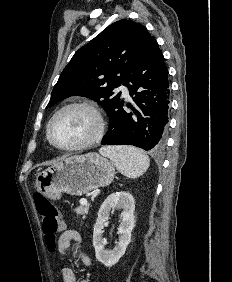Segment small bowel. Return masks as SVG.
<instances>
[{
    "label": "small bowel",
    "instance_id": "c3829d8e",
    "mask_svg": "<svg viewBox=\"0 0 232 282\" xmlns=\"http://www.w3.org/2000/svg\"><path fill=\"white\" fill-rule=\"evenodd\" d=\"M82 239L75 230L65 229L58 239V254L64 261V256L68 249L72 248V256L75 261H81L84 265L91 264L90 258L81 249ZM60 274L63 282H90L87 279L79 278L75 272L64 263L61 265Z\"/></svg>",
    "mask_w": 232,
    "mask_h": 282
}]
</instances>
